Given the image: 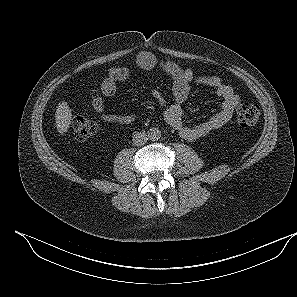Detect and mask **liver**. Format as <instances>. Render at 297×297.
I'll return each mask as SVG.
<instances>
[{
    "instance_id": "liver-1",
    "label": "liver",
    "mask_w": 297,
    "mask_h": 297,
    "mask_svg": "<svg viewBox=\"0 0 297 297\" xmlns=\"http://www.w3.org/2000/svg\"><path fill=\"white\" fill-rule=\"evenodd\" d=\"M72 119L71 109L67 102L62 101L59 103L55 112V125L60 134L68 131Z\"/></svg>"
}]
</instances>
